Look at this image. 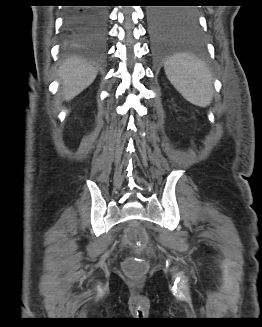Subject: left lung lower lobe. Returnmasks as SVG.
<instances>
[{
  "mask_svg": "<svg viewBox=\"0 0 262 327\" xmlns=\"http://www.w3.org/2000/svg\"><path fill=\"white\" fill-rule=\"evenodd\" d=\"M191 9L151 7L148 11L149 33L153 52L157 55L169 53L202 54L205 40Z\"/></svg>",
  "mask_w": 262,
  "mask_h": 327,
  "instance_id": "1",
  "label": "left lung lower lobe"
}]
</instances>
